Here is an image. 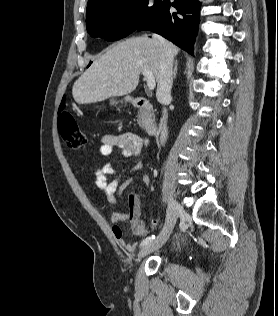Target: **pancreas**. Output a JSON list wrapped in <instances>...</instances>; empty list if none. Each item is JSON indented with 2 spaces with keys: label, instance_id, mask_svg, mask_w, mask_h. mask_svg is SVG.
<instances>
[{
  "label": "pancreas",
  "instance_id": "obj_1",
  "mask_svg": "<svg viewBox=\"0 0 278 316\" xmlns=\"http://www.w3.org/2000/svg\"><path fill=\"white\" fill-rule=\"evenodd\" d=\"M154 111L152 109L140 110L138 112V124L140 128L146 129L149 124L154 122Z\"/></svg>",
  "mask_w": 278,
  "mask_h": 316
}]
</instances>
